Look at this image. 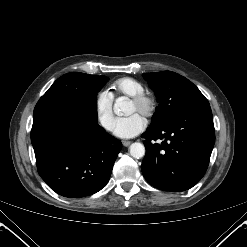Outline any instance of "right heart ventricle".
Wrapping results in <instances>:
<instances>
[{
	"instance_id": "right-heart-ventricle-1",
	"label": "right heart ventricle",
	"mask_w": 247,
	"mask_h": 247,
	"mask_svg": "<svg viewBox=\"0 0 247 247\" xmlns=\"http://www.w3.org/2000/svg\"><path fill=\"white\" fill-rule=\"evenodd\" d=\"M112 97H133L144 92V85L131 77H122L115 80L110 86Z\"/></svg>"
}]
</instances>
